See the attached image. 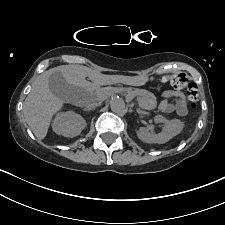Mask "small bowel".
<instances>
[{"instance_id":"1","label":"small bowel","mask_w":225,"mask_h":225,"mask_svg":"<svg viewBox=\"0 0 225 225\" xmlns=\"http://www.w3.org/2000/svg\"><path fill=\"white\" fill-rule=\"evenodd\" d=\"M165 100L159 110L163 113L175 112L178 116H185L188 112L184 92L181 90H169L163 93Z\"/></svg>"}]
</instances>
